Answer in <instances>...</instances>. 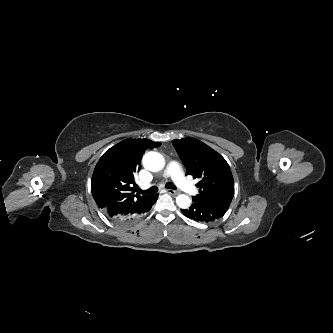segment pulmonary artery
Wrapping results in <instances>:
<instances>
[{
	"mask_svg": "<svg viewBox=\"0 0 333 333\" xmlns=\"http://www.w3.org/2000/svg\"><path fill=\"white\" fill-rule=\"evenodd\" d=\"M164 175L172 177L174 182L184 192L190 195H195L197 193V188L195 187V185L184 177L178 162L176 161L170 162L165 169Z\"/></svg>",
	"mask_w": 333,
	"mask_h": 333,
	"instance_id": "1",
	"label": "pulmonary artery"
}]
</instances>
